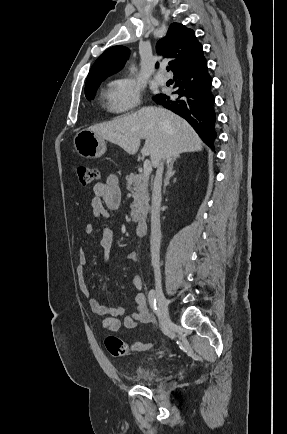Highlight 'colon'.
<instances>
[{
	"label": "colon",
	"mask_w": 287,
	"mask_h": 434,
	"mask_svg": "<svg viewBox=\"0 0 287 434\" xmlns=\"http://www.w3.org/2000/svg\"><path fill=\"white\" fill-rule=\"evenodd\" d=\"M78 181L82 185H90L99 179V170L94 167L78 165L75 168ZM105 346L108 352L114 357H124L132 352H140L151 347L150 343L138 342L129 343L121 340L117 336H108L105 339Z\"/></svg>",
	"instance_id": "obj_1"
}]
</instances>
